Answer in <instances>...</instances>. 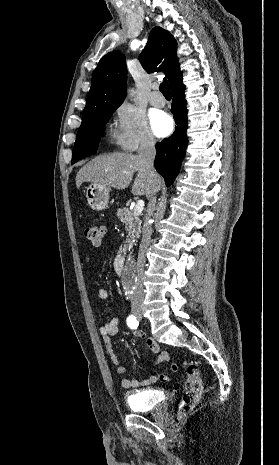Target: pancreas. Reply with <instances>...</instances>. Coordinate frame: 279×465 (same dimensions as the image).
Segmentation results:
<instances>
[{
  "mask_svg": "<svg viewBox=\"0 0 279 465\" xmlns=\"http://www.w3.org/2000/svg\"><path fill=\"white\" fill-rule=\"evenodd\" d=\"M119 220L125 225L128 232L127 239L124 242L123 249L132 248L141 233V220L138 216L129 211L128 208H120L117 210Z\"/></svg>",
  "mask_w": 279,
  "mask_h": 465,
  "instance_id": "1",
  "label": "pancreas"
}]
</instances>
